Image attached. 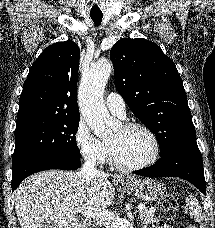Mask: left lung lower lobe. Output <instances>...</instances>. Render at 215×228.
Wrapping results in <instances>:
<instances>
[{
	"mask_svg": "<svg viewBox=\"0 0 215 228\" xmlns=\"http://www.w3.org/2000/svg\"><path fill=\"white\" fill-rule=\"evenodd\" d=\"M133 173L145 177H179L206 194L202 156L196 140L191 139L170 149L152 166Z\"/></svg>",
	"mask_w": 215,
	"mask_h": 228,
	"instance_id": "1",
	"label": "left lung lower lobe"
}]
</instances>
